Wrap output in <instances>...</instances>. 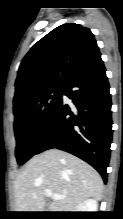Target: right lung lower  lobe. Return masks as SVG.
<instances>
[{"instance_id":"obj_1","label":"right lung lower lobe","mask_w":123,"mask_h":219,"mask_svg":"<svg viewBox=\"0 0 123 219\" xmlns=\"http://www.w3.org/2000/svg\"><path fill=\"white\" fill-rule=\"evenodd\" d=\"M101 57L80 70L64 86L63 102L45 129L36 154L58 148L93 166L107 181L112 141L111 97Z\"/></svg>"}]
</instances>
